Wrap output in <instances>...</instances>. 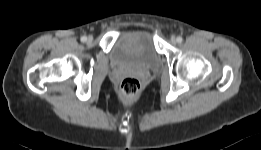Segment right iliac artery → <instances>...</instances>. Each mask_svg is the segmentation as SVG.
Instances as JSON below:
<instances>
[{
    "label": "right iliac artery",
    "mask_w": 261,
    "mask_h": 150,
    "mask_svg": "<svg viewBox=\"0 0 261 150\" xmlns=\"http://www.w3.org/2000/svg\"><path fill=\"white\" fill-rule=\"evenodd\" d=\"M86 40H87V37H86V36H82V37H81V41H82V42H85Z\"/></svg>",
    "instance_id": "82829eb1"
}]
</instances>
